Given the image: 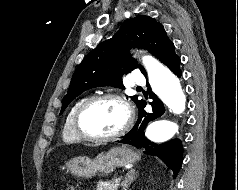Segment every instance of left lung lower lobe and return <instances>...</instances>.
Returning a JSON list of instances; mask_svg holds the SVG:
<instances>
[{
  "mask_svg": "<svg viewBox=\"0 0 238 190\" xmlns=\"http://www.w3.org/2000/svg\"><path fill=\"white\" fill-rule=\"evenodd\" d=\"M175 75L181 77L180 57L173 51L163 62ZM150 98L153 102L151 111H146L144 108L146 102L142 100L138 105L139 115L138 120L131 131L120 140V143L133 145L147 154H153L161 158L172 170L176 176L182 164L183 148L179 139L171 140L167 143L156 144L148 140L144 135V130L147 124L158 117L162 116L165 108L160 99L155 94L150 92Z\"/></svg>",
  "mask_w": 238,
  "mask_h": 190,
  "instance_id": "1",
  "label": "left lung lower lobe"
}]
</instances>
